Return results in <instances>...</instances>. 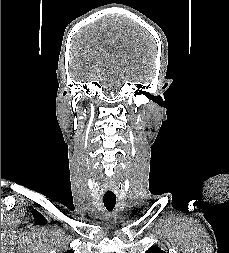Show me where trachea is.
Listing matches in <instances>:
<instances>
[{
    "label": "trachea",
    "instance_id": "obj_1",
    "mask_svg": "<svg viewBox=\"0 0 229 253\" xmlns=\"http://www.w3.org/2000/svg\"><path fill=\"white\" fill-rule=\"evenodd\" d=\"M104 206L108 211H112L116 204V196L104 197Z\"/></svg>",
    "mask_w": 229,
    "mask_h": 253
}]
</instances>
